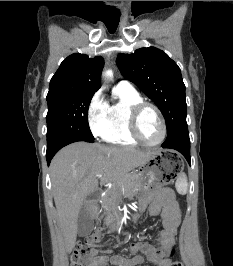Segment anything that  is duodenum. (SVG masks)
<instances>
[{
  "label": "duodenum",
  "instance_id": "obj_1",
  "mask_svg": "<svg viewBox=\"0 0 233 266\" xmlns=\"http://www.w3.org/2000/svg\"><path fill=\"white\" fill-rule=\"evenodd\" d=\"M100 196H101V193L99 190H95L93 191L91 194H90V200L93 202V203H96L98 202V200L100 199Z\"/></svg>",
  "mask_w": 233,
  "mask_h": 266
}]
</instances>
